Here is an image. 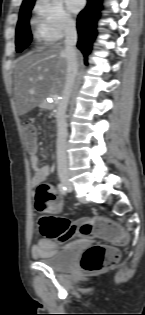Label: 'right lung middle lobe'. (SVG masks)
<instances>
[{
  "label": "right lung middle lobe",
  "instance_id": "obj_1",
  "mask_svg": "<svg viewBox=\"0 0 145 315\" xmlns=\"http://www.w3.org/2000/svg\"><path fill=\"white\" fill-rule=\"evenodd\" d=\"M34 2L21 6L19 20L16 28V51H23L31 42L29 18Z\"/></svg>",
  "mask_w": 145,
  "mask_h": 315
}]
</instances>
